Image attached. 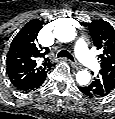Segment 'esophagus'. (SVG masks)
Wrapping results in <instances>:
<instances>
[{
	"instance_id": "obj_1",
	"label": "esophagus",
	"mask_w": 115,
	"mask_h": 119,
	"mask_svg": "<svg viewBox=\"0 0 115 119\" xmlns=\"http://www.w3.org/2000/svg\"><path fill=\"white\" fill-rule=\"evenodd\" d=\"M69 63L75 69H80L81 68L80 64L77 61H75V60H69Z\"/></svg>"
}]
</instances>
